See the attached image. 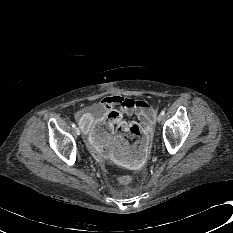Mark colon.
<instances>
[{"label": "colon", "instance_id": "obj_1", "mask_svg": "<svg viewBox=\"0 0 233 233\" xmlns=\"http://www.w3.org/2000/svg\"><path fill=\"white\" fill-rule=\"evenodd\" d=\"M118 132L125 133L127 138L131 141L141 135V130L137 124H131L127 129L119 128ZM120 183L128 184L131 181V178L127 175L121 176L119 178Z\"/></svg>", "mask_w": 233, "mask_h": 233}]
</instances>
